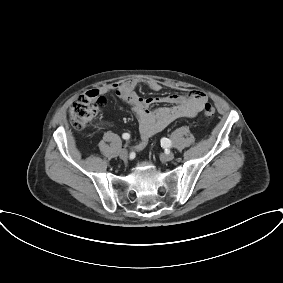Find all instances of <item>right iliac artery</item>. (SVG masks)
Wrapping results in <instances>:
<instances>
[{
    "mask_svg": "<svg viewBox=\"0 0 283 283\" xmlns=\"http://www.w3.org/2000/svg\"><path fill=\"white\" fill-rule=\"evenodd\" d=\"M122 137H123L124 139H129V138H130V135H129L128 133H124V134L122 135Z\"/></svg>",
    "mask_w": 283,
    "mask_h": 283,
    "instance_id": "obj_1",
    "label": "right iliac artery"
}]
</instances>
